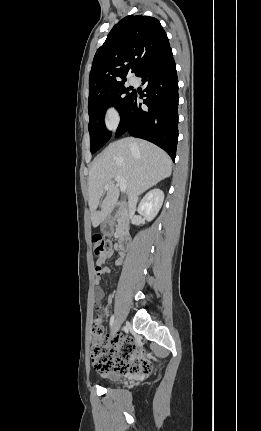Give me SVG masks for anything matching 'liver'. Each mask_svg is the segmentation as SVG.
<instances>
[{
  "label": "liver",
  "instance_id": "1",
  "mask_svg": "<svg viewBox=\"0 0 261 431\" xmlns=\"http://www.w3.org/2000/svg\"><path fill=\"white\" fill-rule=\"evenodd\" d=\"M172 161L156 145L132 137L111 143L93 161L89 177V207L94 228L105 221L114 209L119 191L113 184L116 176L126 180L127 195L141 194L161 180L170 177ZM110 184L106 189L105 185ZM105 195L101 210H97Z\"/></svg>",
  "mask_w": 261,
  "mask_h": 431
}]
</instances>
